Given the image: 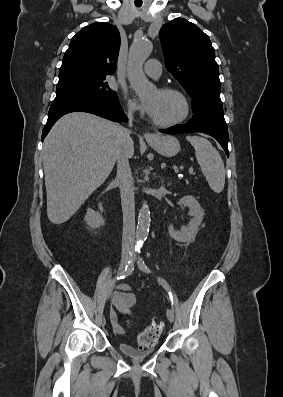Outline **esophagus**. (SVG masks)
Instances as JSON below:
<instances>
[{"label":"esophagus","instance_id":"34e87169","mask_svg":"<svg viewBox=\"0 0 283 397\" xmlns=\"http://www.w3.org/2000/svg\"><path fill=\"white\" fill-rule=\"evenodd\" d=\"M144 138L147 141H153L156 138V134H154V133H145L144 134Z\"/></svg>","mask_w":283,"mask_h":397}]
</instances>
